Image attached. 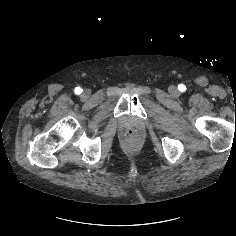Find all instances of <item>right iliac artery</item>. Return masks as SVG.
Returning a JSON list of instances; mask_svg holds the SVG:
<instances>
[{
	"mask_svg": "<svg viewBox=\"0 0 236 236\" xmlns=\"http://www.w3.org/2000/svg\"><path fill=\"white\" fill-rule=\"evenodd\" d=\"M74 91H75V94L78 95V94H81L83 90L80 87H76Z\"/></svg>",
	"mask_w": 236,
	"mask_h": 236,
	"instance_id": "82829eb1",
	"label": "right iliac artery"
}]
</instances>
